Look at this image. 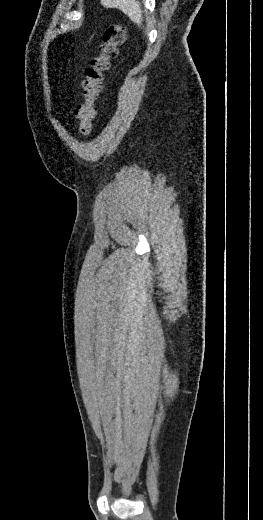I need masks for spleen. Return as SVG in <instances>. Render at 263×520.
I'll return each mask as SVG.
<instances>
[{"mask_svg":"<svg viewBox=\"0 0 263 520\" xmlns=\"http://www.w3.org/2000/svg\"><path fill=\"white\" fill-rule=\"evenodd\" d=\"M101 4L106 8H117L126 14L138 26L143 22V11L141 5L136 0H101Z\"/></svg>","mask_w":263,"mask_h":520,"instance_id":"spleen-1","label":"spleen"}]
</instances>
